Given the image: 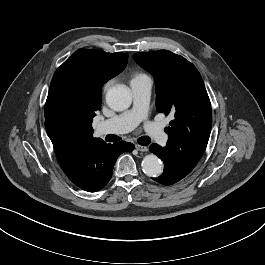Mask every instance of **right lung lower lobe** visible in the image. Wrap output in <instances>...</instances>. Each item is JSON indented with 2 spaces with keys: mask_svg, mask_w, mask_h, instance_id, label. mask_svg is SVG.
Returning <instances> with one entry per match:
<instances>
[{
  "mask_svg": "<svg viewBox=\"0 0 265 265\" xmlns=\"http://www.w3.org/2000/svg\"><path fill=\"white\" fill-rule=\"evenodd\" d=\"M133 149L134 145L125 141L92 143L73 163L62 169L76 186L84 191L96 192L109 182L118 156Z\"/></svg>",
  "mask_w": 265,
  "mask_h": 265,
  "instance_id": "obj_1",
  "label": "right lung lower lobe"
}]
</instances>
